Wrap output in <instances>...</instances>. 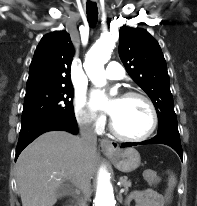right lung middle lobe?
Returning a JSON list of instances; mask_svg holds the SVG:
<instances>
[{
  "label": "right lung middle lobe",
  "instance_id": "dd1d6c3e",
  "mask_svg": "<svg viewBox=\"0 0 197 206\" xmlns=\"http://www.w3.org/2000/svg\"><path fill=\"white\" fill-rule=\"evenodd\" d=\"M72 85L26 89L21 126L37 120L74 116Z\"/></svg>",
  "mask_w": 197,
  "mask_h": 206
}]
</instances>
